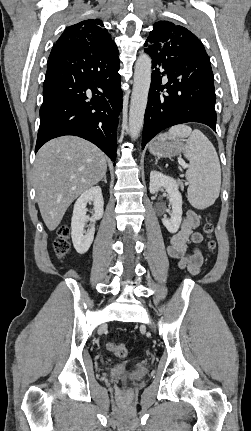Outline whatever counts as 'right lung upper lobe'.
I'll list each match as a JSON object with an SVG mask.
<instances>
[{
  "instance_id": "1",
  "label": "right lung upper lobe",
  "mask_w": 251,
  "mask_h": 431,
  "mask_svg": "<svg viewBox=\"0 0 251 431\" xmlns=\"http://www.w3.org/2000/svg\"><path fill=\"white\" fill-rule=\"evenodd\" d=\"M69 55H93L105 64L119 59L118 49L111 35L99 19H89L69 26L53 46Z\"/></svg>"
}]
</instances>
